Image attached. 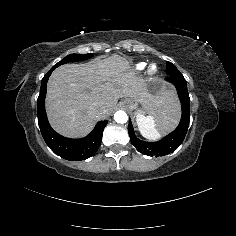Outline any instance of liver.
<instances>
[{"instance_id": "6515ba94", "label": "liver", "mask_w": 236, "mask_h": 236, "mask_svg": "<svg viewBox=\"0 0 236 236\" xmlns=\"http://www.w3.org/2000/svg\"><path fill=\"white\" fill-rule=\"evenodd\" d=\"M138 101L152 116L168 121L170 110L179 111L177 100H157L147 94L144 79L135 76L129 62L112 55L85 64H65L55 69L47 83L46 111L52 127L67 137H82L95 122L110 116L119 98ZM93 103L99 107L91 109Z\"/></svg>"}]
</instances>
